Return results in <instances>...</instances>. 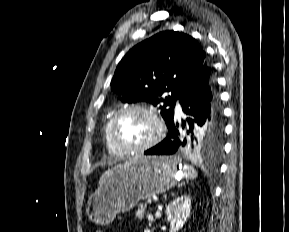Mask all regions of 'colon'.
I'll return each mask as SVG.
<instances>
[{"mask_svg": "<svg viewBox=\"0 0 289 232\" xmlns=\"http://www.w3.org/2000/svg\"><path fill=\"white\" fill-rule=\"evenodd\" d=\"M93 232H103V231L100 230V229H97V230H95V231H93Z\"/></svg>", "mask_w": 289, "mask_h": 232, "instance_id": "5ec220e1", "label": "colon"}]
</instances>
